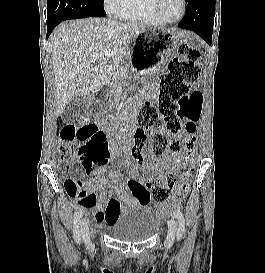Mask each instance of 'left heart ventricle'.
<instances>
[{
    "label": "left heart ventricle",
    "instance_id": "b2bd125f",
    "mask_svg": "<svg viewBox=\"0 0 265 273\" xmlns=\"http://www.w3.org/2000/svg\"><path fill=\"white\" fill-rule=\"evenodd\" d=\"M160 8L167 19L174 20L181 15L182 3L181 0H161Z\"/></svg>",
    "mask_w": 265,
    "mask_h": 273
}]
</instances>
